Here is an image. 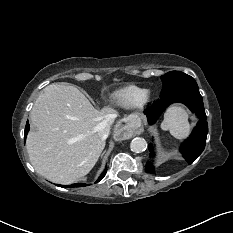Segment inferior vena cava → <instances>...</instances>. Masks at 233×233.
<instances>
[{"mask_svg":"<svg viewBox=\"0 0 233 233\" xmlns=\"http://www.w3.org/2000/svg\"><path fill=\"white\" fill-rule=\"evenodd\" d=\"M116 114L115 113H110V114H107L105 116V119L99 129V137L102 139V140H106L107 137L109 136V132H110V125L114 122L115 118H116Z\"/></svg>","mask_w":233,"mask_h":233,"instance_id":"obj_1","label":"inferior vena cava"}]
</instances>
